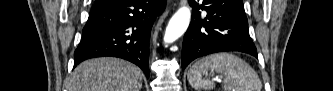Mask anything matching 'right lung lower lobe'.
<instances>
[{"mask_svg": "<svg viewBox=\"0 0 333 91\" xmlns=\"http://www.w3.org/2000/svg\"><path fill=\"white\" fill-rule=\"evenodd\" d=\"M166 0L95 3L75 51L74 67L89 58L113 56L138 65L149 77V39Z\"/></svg>", "mask_w": 333, "mask_h": 91, "instance_id": "right-lung-lower-lobe-1", "label": "right lung lower lobe"}]
</instances>
